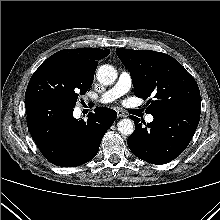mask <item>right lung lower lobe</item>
Segmentation results:
<instances>
[{
	"mask_svg": "<svg viewBox=\"0 0 220 220\" xmlns=\"http://www.w3.org/2000/svg\"><path fill=\"white\" fill-rule=\"evenodd\" d=\"M28 130L44 157L61 167H77L92 160L101 140L117 117L97 107L87 122L73 117V106L41 96L25 98Z\"/></svg>",
	"mask_w": 220,
	"mask_h": 220,
	"instance_id": "1",
	"label": "right lung lower lobe"
}]
</instances>
